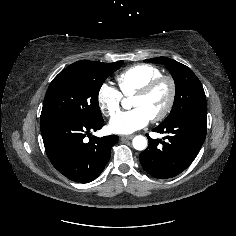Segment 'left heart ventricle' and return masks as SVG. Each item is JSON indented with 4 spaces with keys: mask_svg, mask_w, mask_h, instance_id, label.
Masks as SVG:
<instances>
[{
    "mask_svg": "<svg viewBox=\"0 0 236 236\" xmlns=\"http://www.w3.org/2000/svg\"><path fill=\"white\" fill-rule=\"evenodd\" d=\"M168 94V85L161 84L147 97H133L131 107L143 109L152 118L164 109Z\"/></svg>",
    "mask_w": 236,
    "mask_h": 236,
    "instance_id": "obj_1",
    "label": "left heart ventricle"
}]
</instances>
